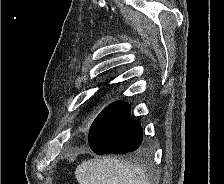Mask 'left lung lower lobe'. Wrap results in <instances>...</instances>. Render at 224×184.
I'll return each instance as SVG.
<instances>
[{
    "mask_svg": "<svg viewBox=\"0 0 224 184\" xmlns=\"http://www.w3.org/2000/svg\"><path fill=\"white\" fill-rule=\"evenodd\" d=\"M142 128L130 114L129 104L118 101L105 107L93 121L88 135L96 154H125L141 149Z\"/></svg>",
    "mask_w": 224,
    "mask_h": 184,
    "instance_id": "left-lung-lower-lobe-1",
    "label": "left lung lower lobe"
}]
</instances>
